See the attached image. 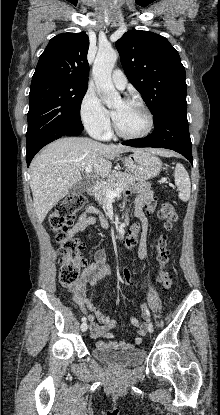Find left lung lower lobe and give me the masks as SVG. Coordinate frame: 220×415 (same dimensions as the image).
<instances>
[{"instance_id": "1", "label": "left lung lower lobe", "mask_w": 220, "mask_h": 415, "mask_svg": "<svg viewBox=\"0 0 220 415\" xmlns=\"http://www.w3.org/2000/svg\"><path fill=\"white\" fill-rule=\"evenodd\" d=\"M154 131L146 138L127 140L123 145L174 150L193 165L192 146L187 120V104H178L154 119Z\"/></svg>"}]
</instances>
